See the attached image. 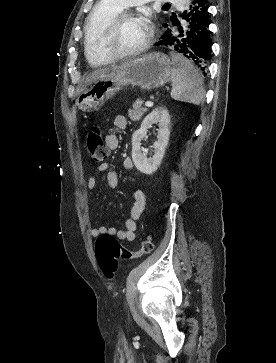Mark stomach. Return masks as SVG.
I'll list each match as a JSON object with an SVG mask.
<instances>
[{
	"label": "stomach",
	"instance_id": "stomach-1",
	"mask_svg": "<svg viewBox=\"0 0 276 363\" xmlns=\"http://www.w3.org/2000/svg\"><path fill=\"white\" fill-rule=\"evenodd\" d=\"M172 71L173 63L163 53L128 60L88 84L76 104L84 112L97 111L125 86H137L146 91L164 86L170 81Z\"/></svg>",
	"mask_w": 276,
	"mask_h": 363
}]
</instances>
